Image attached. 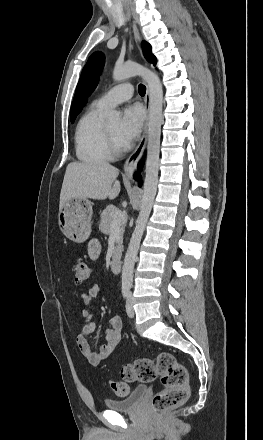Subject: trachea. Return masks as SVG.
<instances>
[{"label": "trachea", "instance_id": "obj_1", "mask_svg": "<svg viewBox=\"0 0 263 440\" xmlns=\"http://www.w3.org/2000/svg\"><path fill=\"white\" fill-rule=\"evenodd\" d=\"M138 92L141 96H144L146 93V87L143 84H140L138 86Z\"/></svg>", "mask_w": 263, "mask_h": 440}]
</instances>
